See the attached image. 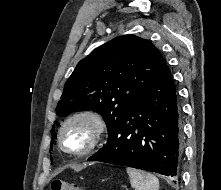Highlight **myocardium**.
<instances>
[{
	"label": "myocardium",
	"instance_id": "f54148a6",
	"mask_svg": "<svg viewBox=\"0 0 221 190\" xmlns=\"http://www.w3.org/2000/svg\"><path fill=\"white\" fill-rule=\"evenodd\" d=\"M76 120H86L92 126V135L90 141L88 145L82 149H71L68 146H66L64 142V133L67 126ZM106 130V121L99 112L92 109H81L71 113L63 120L59 129L58 142L60 147L65 152L76 156H83L91 153L98 147L106 133Z\"/></svg>",
	"mask_w": 221,
	"mask_h": 190
}]
</instances>
